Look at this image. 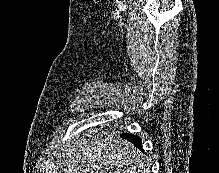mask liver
Listing matches in <instances>:
<instances>
[{
	"mask_svg": "<svg viewBox=\"0 0 219 173\" xmlns=\"http://www.w3.org/2000/svg\"><path fill=\"white\" fill-rule=\"evenodd\" d=\"M63 152L64 173H149L133 144L98 129L77 134Z\"/></svg>",
	"mask_w": 219,
	"mask_h": 173,
	"instance_id": "6515ba94",
	"label": "liver"
}]
</instances>
